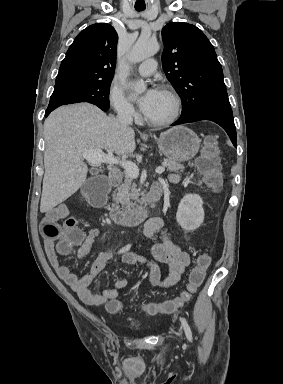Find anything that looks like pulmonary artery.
Segmentation results:
<instances>
[{"label": "pulmonary artery", "mask_w": 283, "mask_h": 384, "mask_svg": "<svg viewBox=\"0 0 283 384\" xmlns=\"http://www.w3.org/2000/svg\"><path fill=\"white\" fill-rule=\"evenodd\" d=\"M157 62L156 61H145L143 63L138 64L136 67V71L138 74L142 76H149L156 71Z\"/></svg>", "instance_id": "pulmonary-artery-1"}]
</instances>
